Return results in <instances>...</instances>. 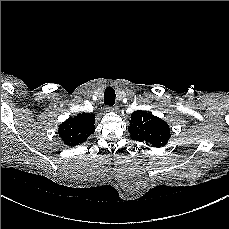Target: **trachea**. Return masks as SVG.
<instances>
[{
	"label": "trachea",
	"mask_w": 229,
	"mask_h": 229,
	"mask_svg": "<svg viewBox=\"0 0 229 229\" xmlns=\"http://www.w3.org/2000/svg\"><path fill=\"white\" fill-rule=\"evenodd\" d=\"M115 90L113 87L108 86L104 92V103L108 106H113L115 103Z\"/></svg>",
	"instance_id": "1"
}]
</instances>
